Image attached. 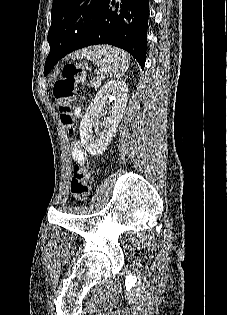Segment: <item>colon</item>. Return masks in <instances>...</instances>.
Instances as JSON below:
<instances>
[{"label": "colon", "mask_w": 227, "mask_h": 315, "mask_svg": "<svg viewBox=\"0 0 227 315\" xmlns=\"http://www.w3.org/2000/svg\"><path fill=\"white\" fill-rule=\"evenodd\" d=\"M85 69L79 64H68L63 68L62 78L55 82L53 95L60 111L62 125L70 134L75 132L76 113L68 101L73 97L76 86L84 81ZM91 175L88 168L76 165L70 181V193L76 200H85L90 193Z\"/></svg>", "instance_id": "colon-1"}]
</instances>
